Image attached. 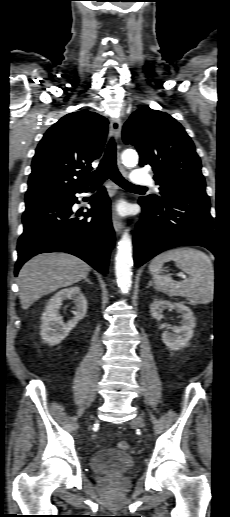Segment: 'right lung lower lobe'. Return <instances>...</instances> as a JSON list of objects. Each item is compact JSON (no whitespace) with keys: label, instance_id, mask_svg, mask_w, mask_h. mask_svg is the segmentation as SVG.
Masks as SVG:
<instances>
[{"label":"right lung lower lobe","instance_id":"right-lung-lower-lobe-1","mask_svg":"<svg viewBox=\"0 0 230 517\" xmlns=\"http://www.w3.org/2000/svg\"><path fill=\"white\" fill-rule=\"evenodd\" d=\"M89 186V185H88ZM77 190L26 201L22 221L24 231L18 240L15 275L31 257L46 252L73 254L101 273L108 272L110 250L114 246L110 200L102 187L90 202L85 218L73 217L71 207L78 203ZM79 216V215H77ZM92 217L88 219V217Z\"/></svg>","mask_w":230,"mask_h":517}]
</instances>
